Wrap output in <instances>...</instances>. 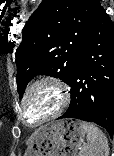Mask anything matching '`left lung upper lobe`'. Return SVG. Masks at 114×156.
<instances>
[{"instance_id": "5c2ea615", "label": "left lung upper lobe", "mask_w": 114, "mask_h": 156, "mask_svg": "<svg viewBox=\"0 0 114 156\" xmlns=\"http://www.w3.org/2000/svg\"><path fill=\"white\" fill-rule=\"evenodd\" d=\"M99 7L98 0L42 1L26 22L16 50L20 98L28 82L39 74L70 84L80 48Z\"/></svg>"}]
</instances>
